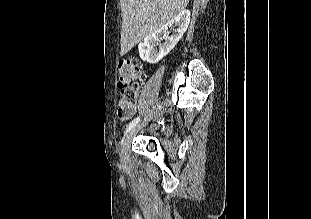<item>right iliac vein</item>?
Instances as JSON below:
<instances>
[{
    "instance_id": "right-iliac-vein-1",
    "label": "right iliac vein",
    "mask_w": 311,
    "mask_h": 219,
    "mask_svg": "<svg viewBox=\"0 0 311 219\" xmlns=\"http://www.w3.org/2000/svg\"><path fill=\"white\" fill-rule=\"evenodd\" d=\"M155 113H156V110L154 109L139 125L131 129L125 136L123 143H122L121 153H120V159L122 163H126L128 161L130 143L133 137L142 127H144L150 120L153 119Z\"/></svg>"
}]
</instances>
